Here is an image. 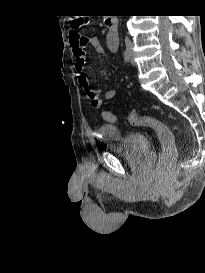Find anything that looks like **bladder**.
Segmentation results:
<instances>
[{
	"instance_id": "31cf9c89",
	"label": "bladder",
	"mask_w": 205,
	"mask_h": 273,
	"mask_svg": "<svg viewBox=\"0 0 205 273\" xmlns=\"http://www.w3.org/2000/svg\"><path fill=\"white\" fill-rule=\"evenodd\" d=\"M98 133L108 150L131 161H139L148 153L150 140L143 132L124 133L116 125L104 124L99 127Z\"/></svg>"
}]
</instances>
